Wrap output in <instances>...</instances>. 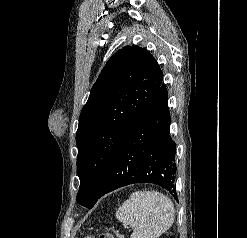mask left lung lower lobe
Returning a JSON list of instances; mask_svg holds the SVG:
<instances>
[{
    "label": "left lung lower lobe",
    "instance_id": "0a47b994",
    "mask_svg": "<svg viewBox=\"0 0 247 238\" xmlns=\"http://www.w3.org/2000/svg\"><path fill=\"white\" fill-rule=\"evenodd\" d=\"M168 93L161 84L147 111L114 156L98 198L133 183H153L175 198L176 144L169 136Z\"/></svg>",
    "mask_w": 247,
    "mask_h": 238
}]
</instances>
